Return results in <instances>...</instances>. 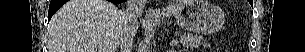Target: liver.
<instances>
[{
	"instance_id": "1",
	"label": "liver",
	"mask_w": 305,
	"mask_h": 52,
	"mask_svg": "<svg viewBox=\"0 0 305 52\" xmlns=\"http://www.w3.org/2000/svg\"><path fill=\"white\" fill-rule=\"evenodd\" d=\"M188 1L162 15L175 14ZM124 25L123 12L108 1L70 0L50 20L48 52H115Z\"/></svg>"
}]
</instances>
